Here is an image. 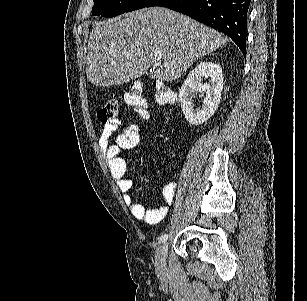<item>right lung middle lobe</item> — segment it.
<instances>
[{
    "instance_id": "right-lung-middle-lobe-1",
    "label": "right lung middle lobe",
    "mask_w": 307,
    "mask_h": 301,
    "mask_svg": "<svg viewBox=\"0 0 307 301\" xmlns=\"http://www.w3.org/2000/svg\"><path fill=\"white\" fill-rule=\"evenodd\" d=\"M152 0H94L92 15L114 17L145 7Z\"/></svg>"
}]
</instances>
